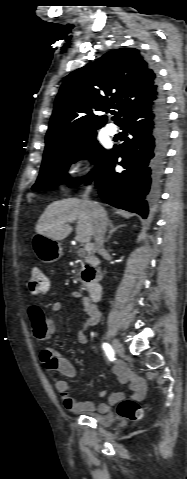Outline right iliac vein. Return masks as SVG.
Here are the masks:
<instances>
[{"instance_id":"63e3f726","label":"right iliac vein","mask_w":187,"mask_h":479,"mask_svg":"<svg viewBox=\"0 0 187 479\" xmlns=\"http://www.w3.org/2000/svg\"><path fill=\"white\" fill-rule=\"evenodd\" d=\"M112 346H113L114 351L117 354H119V355L124 354V347L122 346V344L117 339L113 340Z\"/></svg>"}]
</instances>
